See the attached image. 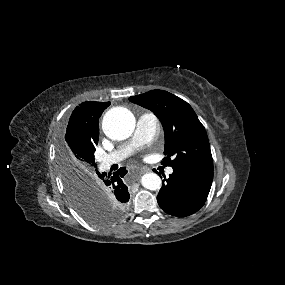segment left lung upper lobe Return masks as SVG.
Masks as SVG:
<instances>
[{
	"instance_id": "5c2ea615",
	"label": "left lung upper lobe",
	"mask_w": 285,
	"mask_h": 285,
	"mask_svg": "<svg viewBox=\"0 0 285 285\" xmlns=\"http://www.w3.org/2000/svg\"><path fill=\"white\" fill-rule=\"evenodd\" d=\"M129 100L151 110L161 121L165 132L163 165L213 172L206 130L187 102L163 90H151Z\"/></svg>"
}]
</instances>
